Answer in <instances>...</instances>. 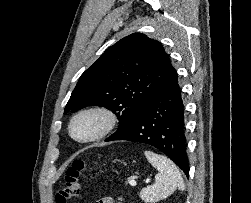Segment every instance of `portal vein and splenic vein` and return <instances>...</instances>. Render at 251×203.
I'll return each mask as SVG.
<instances>
[{
	"instance_id": "1",
	"label": "portal vein and splenic vein",
	"mask_w": 251,
	"mask_h": 203,
	"mask_svg": "<svg viewBox=\"0 0 251 203\" xmlns=\"http://www.w3.org/2000/svg\"><path fill=\"white\" fill-rule=\"evenodd\" d=\"M129 184H130L131 186H136L137 183H136V181H134V180H130V181H129Z\"/></svg>"
}]
</instances>
